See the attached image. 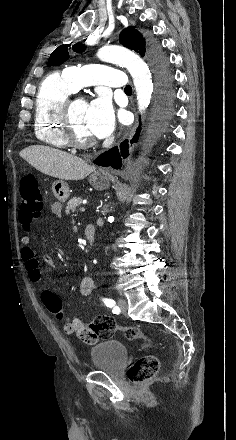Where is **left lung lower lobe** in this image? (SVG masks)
<instances>
[{"label":"left lung lower lobe","instance_id":"obj_1","mask_svg":"<svg viewBox=\"0 0 236 440\" xmlns=\"http://www.w3.org/2000/svg\"><path fill=\"white\" fill-rule=\"evenodd\" d=\"M160 68H163L164 64L159 62ZM160 83L163 85L162 94L159 100L157 108V121L152 127L154 131L165 130L167 126V120L172 116V110L170 109V104L173 100V94L171 91L166 89V85L169 83V77L163 70L159 73ZM141 128H137L136 133L130 140V143H136L139 138ZM129 143L128 140L123 141L120 146L111 148L109 151L101 154L94 163L100 166H112L115 169H119L122 166V159L129 156Z\"/></svg>","mask_w":236,"mask_h":440}]
</instances>
